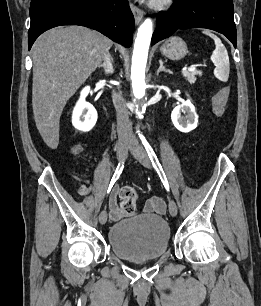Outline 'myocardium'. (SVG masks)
I'll use <instances>...</instances> for the list:
<instances>
[{"instance_id":"obj_1","label":"myocardium","mask_w":261,"mask_h":306,"mask_svg":"<svg viewBox=\"0 0 261 306\" xmlns=\"http://www.w3.org/2000/svg\"><path fill=\"white\" fill-rule=\"evenodd\" d=\"M174 0H152V7L155 9H163L170 6Z\"/></svg>"}]
</instances>
